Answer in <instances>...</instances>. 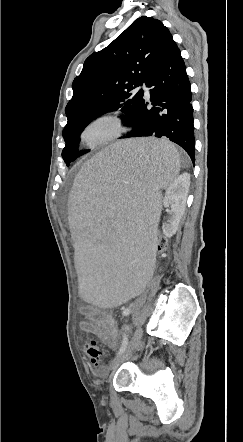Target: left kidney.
<instances>
[{
	"instance_id": "left-kidney-1",
	"label": "left kidney",
	"mask_w": 243,
	"mask_h": 442,
	"mask_svg": "<svg viewBox=\"0 0 243 442\" xmlns=\"http://www.w3.org/2000/svg\"><path fill=\"white\" fill-rule=\"evenodd\" d=\"M189 185L190 176L187 173L180 175L168 188L167 195L163 200L165 207L170 206L169 221L162 226L169 238L176 233L184 214Z\"/></svg>"
}]
</instances>
